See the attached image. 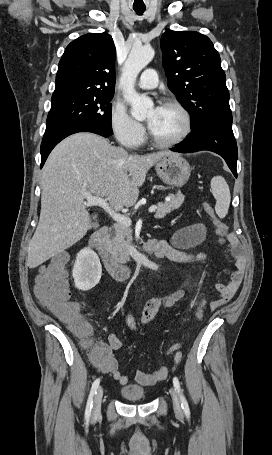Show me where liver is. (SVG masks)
Masks as SVG:
<instances>
[{"label":"liver","mask_w":272,"mask_h":455,"mask_svg":"<svg viewBox=\"0 0 272 455\" xmlns=\"http://www.w3.org/2000/svg\"><path fill=\"white\" fill-rule=\"evenodd\" d=\"M160 151L129 155L92 133H77L49 155L41 179V212L28 247L27 265L35 268L81 240L92 228L85 193L105 197L115 211L133 206L147 171L162 157Z\"/></svg>","instance_id":"obj_1"}]
</instances>
